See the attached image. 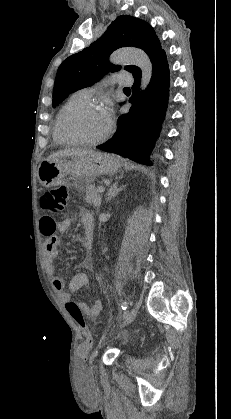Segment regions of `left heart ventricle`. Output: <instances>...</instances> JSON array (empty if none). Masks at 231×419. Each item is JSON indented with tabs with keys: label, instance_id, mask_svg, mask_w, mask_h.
I'll return each instance as SVG.
<instances>
[{
	"label": "left heart ventricle",
	"instance_id": "left-heart-ventricle-1",
	"mask_svg": "<svg viewBox=\"0 0 231 419\" xmlns=\"http://www.w3.org/2000/svg\"><path fill=\"white\" fill-rule=\"evenodd\" d=\"M69 127L78 136L95 139L103 135L109 126L101 110H89L75 116Z\"/></svg>",
	"mask_w": 231,
	"mask_h": 419
}]
</instances>
